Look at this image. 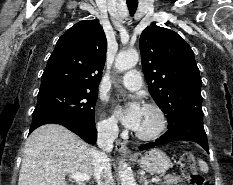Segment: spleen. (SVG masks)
Here are the masks:
<instances>
[{"mask_svg": "<svg viewBox=\"0 0 233 185\" xmlns=\"http://www.w3.org/2000/svg\"><path fill=\"white\" fill-rule=\"evenodd\" d=\"M198 164H199V167H200V170L204 173H207L208 170H209V167H208V164L202 160V159H199L198 160Z\"/></svg>", "mask_w": 233, "mask_h": 185, "instance_id": "1", "label": "spleen"}]
</instances>
